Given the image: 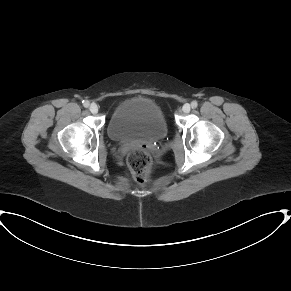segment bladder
Returning <instances> with one entry per match:
<instances>
[{
  "mask_svg": "<svg viewBox=\"0 0 291 291\" xmlns=\"http://www.w3.org/2000/svg\"><path fill=\"white\" fill-rule=\"evenodd\" d=\"M111 138L121 142L158 141L168 132L163 109L151 98L134 96L122 100L107 126Z\"/></svg>",
  "mask_w": 291,
  "mask_h": 291,
  "instance_id": "bladder-1",
  "label": "bladder"
}]
</instances>
